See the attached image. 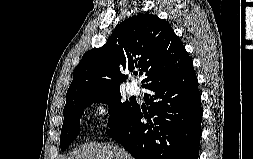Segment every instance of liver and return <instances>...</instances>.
I'll return each instance as SVG.
<instances>
[{
	"label": "liver",
	"instance_id": "liver-1",
	"mask_svg": "<svg viewBox=\"0 0 253 159\" xmlns=\"http://www.w3.org/2000/svg\"><path fill=\"white\" fill-rule=\"evenodd\" d=\"M67 159H134L118 146L100 143H86L76 148Z\"/></svg>",
	"mask_w": 253,
	"mask_h": 159
}]
</instances>
